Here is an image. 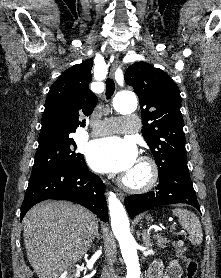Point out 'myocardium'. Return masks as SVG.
<instances>
[{
  "mask_svg": "<svg viewBox=\"0 0 221 278\" xmlns=\"http://www.w3.org/2000/svg\"><path fill=\"white\" fill-rule=\"evenodd\" d=\"M137 161L146 167L147 178L141 183H132L129 180H127L125 176H122L119 179V184L124 190L128 192H132V193L148 192L156 186L159 180L158 165L152 158L148 156H141Z\"/></svg>",
  "mask_w": 221,
  "mask_h": 278,
  "instance_id": "myocardium-1",
  "label": "myocardium"
}]
</instances>
